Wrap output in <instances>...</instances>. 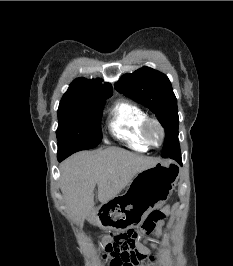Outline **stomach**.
<instances>
[{
  "mask_svg": "<svg viewBox=\"0 0 233 266\" xmlns=\"http://www.w3.org/2000/svg\"><path fill=\"white\" fill-rule=\"evenodd\" d=\"M172 161H163L139 172L131 181L124 194L108 199L101 204V216L93 219L102 228L112 232H132L140 228L141 221L155 208L161 206L176 185L180 167L172 166Z\"/></svg>",
  "mask_w": 233,
  "mask_h": 266,
  "instance_id": "obj_1",
  "label": "stomach"
}]
</instances>
